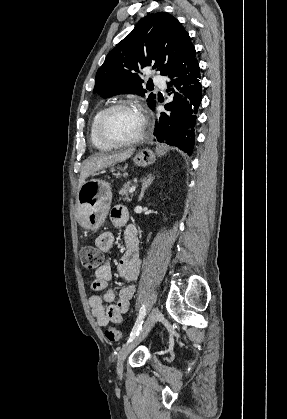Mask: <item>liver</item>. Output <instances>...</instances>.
I'll use <instances>...</instances> for the list:
<instances>
[{
    "label": "liver",
    "instance_id": "6515ba94",
    "mask_svg": "<svg viewBox=\"0 0 287 419\" xmlns=\"http://www.w3.org/2000/svg\"><path fill=\"white\" fill-rule=\"evenodd\" d=\"M134 149H129L123 152H118L114 154H98L88 158L82 167L80 177H79V189L85 180L93 175L95 172L100 171L104 168H107L117 162H122L132 156Z\"/></svg>",
    "mask_w": 287,
    "mask_h": 419
}]
</instances>
